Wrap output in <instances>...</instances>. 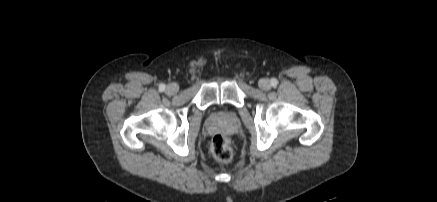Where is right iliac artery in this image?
<instances>
[{"label": "right iliac artery", "instance_id": "1", "mask_svg": "<svg viewBox=\"0 0 437 202\" xmlns=\"http://www.w3.org/2000/svg\"><path fill=\"white\" fill-rule=\"evenodd\" d=\"M165 85L164 84H161L160 86H159V89H160V91H164L165 90Z\"/></svg>", "mask_w": 437, "mask_h": 202}]
</instances>
